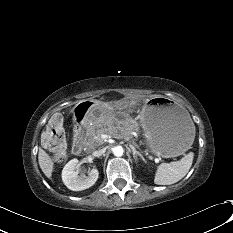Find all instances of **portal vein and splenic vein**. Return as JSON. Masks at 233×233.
<instances>
[{"instance_id": "1", "label": "portal vein and splenic vein", "mask_w": 233, "mask_h": 233, "mask_svg": "<svg viewBox=\"0 0 233 233\" xmlns=\"http://www.w3.org/2000/svg\"><path fill=\"white\" fill-rule=\"evenodd\" d=\"M102 138L107 139V138H110V136L109 135H102Z\"/></svg>"}]
</instances>
